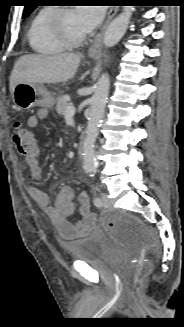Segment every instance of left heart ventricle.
<instances>
[{
    "instance_id": "b2bd125f",
    "label": "left heart ventricle",
    "mask_w": 184,
    "mask_h": 327,
    "mask_svg": "<svg viewBox=\"0 0 184 327\" xmlns=\"http://www.w3.org/2000/svg\"><path fill=\"white\" fill-rule=\"evenodd\" d=\"M63 23L65 31L73 38H79L87 34L74 10H71L64 16Z\"/></svg>"
}]
</instances>
